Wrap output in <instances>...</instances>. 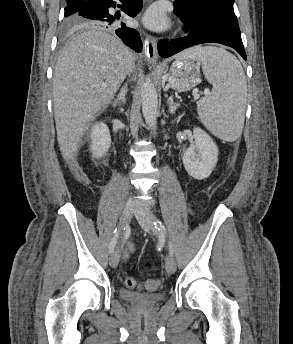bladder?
<instances>
[{
  "label": "bladder",
  "instance_id": "obj_1",
  "mask_svg": "<svg viewBox=\"0 0 293 344\" xmlns=\"http://www.w3.org/2000/svg\"><path fill=\"white\" fill-rule=\"evenodd\" d=\"M120 297L123 301L143 306L146 308H153L159 304H161L164 300V294L163 293H141L132 291L126 288L120 289Z\"/></svg>",
  "mask_w": 293,
  "mask_h": 344
}]
</instances>
